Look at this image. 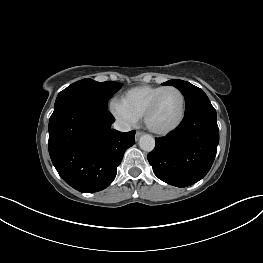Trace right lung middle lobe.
<instances>
[{"mask_svg":"<svg viewBox=\"0 0 263 263\" xmlns=\"http://www.w3.org/2000/svg\"><path fill=\"white\" fill-rule=\"evenodd\" d=\"M122 85L113 81L100 83L88 78L82 79L58 94L54 112L69 104H86L107 109L108 100Z\"/></svg>","mask_w":263,"mask_h":263,"instance_id":"obj_1","label":"right lung middle lobe"}]
</instances>
